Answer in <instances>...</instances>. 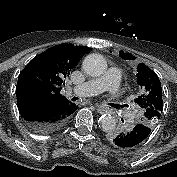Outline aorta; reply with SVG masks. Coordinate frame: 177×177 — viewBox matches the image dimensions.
<instances>
[{
	"label": "aorta",
	"instance_id": "obj_1",
	"mask_svg": "<svg viewBox=\"0 0 177 177\" xmlns=\"http://www.w3.org/2000/svg\"><path fill=\"white\" fill-rule=\"evenodd\" d=\"M84 72L92 77L101 76L107 69V62L101 54L92 53L83 60ZM100 124L105 132H111L116 128V119L111 114H104L100 117Z\"/></svg>",
	"mask_w": 177,
	"mask_h": 177
}]
</instances>
